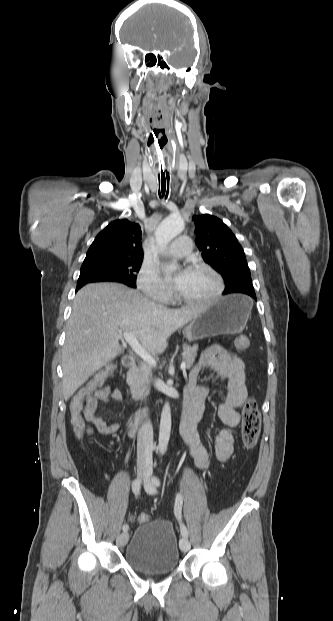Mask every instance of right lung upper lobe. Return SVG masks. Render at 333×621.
I'll return each mask as SVG.
<instances>
[{
	"label": "right lung upper lobe",
	"instance_id": "cb5924a9",
	"mask_svg": "<svg viewBox=\"0 0 333 621\" xmlns=\"http://www.w3.org/2000/svg\"><path fill=\"white\" fill-rule=\"evenodd\" d=\"M139 224L115 220L103 229L90 246L85 260L104 258L143 259Z\"/></svg>",
	"mask_w": 333,
	"mask_h": 621
}]
</instances>
